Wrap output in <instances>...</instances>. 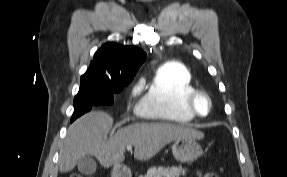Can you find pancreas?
Returning <instances> with one entry per match:
<instances>
[{"label": "pancreas", "instance_id": "1", "mask_svg": "<svg viewBox=\"0 0 287 177\" xmlns=\"http://www.w3.org/2000/svg\"><path fill=\"white\" fill-rule=\"evenodd\" d=\"M185 174V170L179 166V167H167L164 168L162 166L156 168H150L145 177H179L181 175Z\"/></svg>", "mask_w": 287, "mask_h": 177}]
</instances>
